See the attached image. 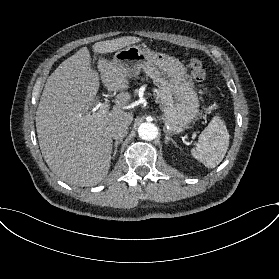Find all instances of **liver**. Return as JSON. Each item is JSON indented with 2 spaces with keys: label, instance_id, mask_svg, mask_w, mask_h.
I'll use <instances>...</instances> for the list:
<instances>
[{
  "label": "liver",
  "instance_id": "liver-1",
  "mask_svg": "<svg viewBox=\"0 0 279 279\" xmlns=\"http://www.w3.org/2000/svg\"><path fill=\"white\" fill-rule=\"evenodd\" d=\"M125 36L93 44L103 86L118 91L115 105L105 112L96 108L99 78L92 69L88 47L64 60L47 79L36 111V132L42 156L63 182L78 187L95 186L109 173L113 151L112 126L134 120L130 75L105 55L140 43Z\"/></svg>",
  "mask_w": 279,
  "mask_h": 279
}]
</instances>
